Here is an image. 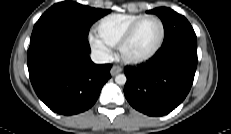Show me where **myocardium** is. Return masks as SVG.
<instances>
[{
	"label": "myocardium",
	"mask_w": 231,
	"mask_h": 134,
	"mask_svg": "<svg viewBox=\"0 0 231 134\" xmlns=\"http://www.w3.org/2000/svg\"><path fill=\"white\" fill-rule=\"evenodd\" d=\"M148 19H154V20L158 21V23L160 24L161 35H160V39H159L158 44L156 45V47L149 54H147L145 56L136 57V58H130V57L125 56L124 55V48L130 42V40L133 38V36L136 33V31L139 28V26L144 21H146ZM165 34H166L165 24H164L163 20L160 17H158L157 15H144L143 17H141L140 19H138L135 23H133L130 26V28L126 31V33L123 35V37L119 41L117 47H118V52H119V55H120L121 59L125 63L132 64V65L142 64V63L148 62L153 57H155L156 54L162 48L164 40H165Z\"/></svg>",
	"instance_id": "obj_1"
}]
</instances>
